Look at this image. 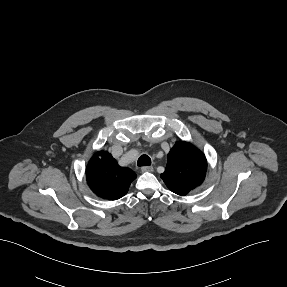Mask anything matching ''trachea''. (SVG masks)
Wrapping results in <instances>:
<instances>
[{"mask_svg": "<svg viewBox=\"0 0 287 287\" xmlns=\"http://www.w3.org/2000/svg\"><path fill=\"white\" fill-rule=\"evenodd\" d=\"M137 165L138 166H149V165H151L150 157L145 155V154L141 155L137 161Z\"/></svg>", "mask_w": 287, "mask_h": 287, "instance_id": "1", "label": "trachea"}]
</instances>
